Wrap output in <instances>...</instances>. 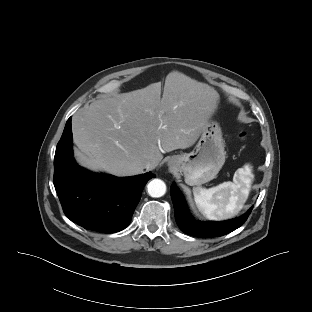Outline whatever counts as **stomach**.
I'll list each match as a JSON object with an SVG mask.
<instances>
[{
  "label": "stomach",
  "instance_id": "0dacf381",
  "mask_svg": "<svg viewBox=\"0 0 312 312\" xmlns=\"http://www.w3.org/2000/svg\"><path fill=\"white\" fill-rule=\"evenodd\" d=\"M225 144L219 124L208 121L200 139L190 153L174 155L168 164L183 173L190 186H200L216 177L225 163Z\"/></svg>",
  "mask_w": 312,
  "mask_h": 312
}]
</instances>
